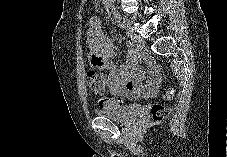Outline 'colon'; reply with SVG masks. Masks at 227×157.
Listing matches in <instances>:
<instances>
[{"label":"colon","instance_id":"5ec220e1","mask_svg":"<svg viewBox=\"0 0 227 157\" xmlns=\"http://www.w3.org/2000/svg\"><path fill=\"white\" fill-rule=\"evenodd\" d=\"M95 64H99L100 62H94ZM88 83L90 87L98 94H102L104 91V82L101 74L98 73H90L88 76ZM175 96V89L168 88L164 93V98L167 101H170ZM98 103L103 108L109 107H118L123 104V100L120 97L117 98H109L105 96H101L98 100ZM150 115L153 121L160 122L164 120L168 115V108L160 103H155L151 106Z\"/></svg>","mask_w":227,"mask_h":157}]
</instances>
